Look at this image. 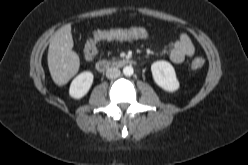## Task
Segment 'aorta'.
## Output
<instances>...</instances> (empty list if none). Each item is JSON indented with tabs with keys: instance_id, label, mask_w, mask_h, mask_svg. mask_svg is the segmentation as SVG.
<instances>
[{
	"instance_id": "762f6f07",
	"label": "aorta",
	"mask_w": 248,
	"mask_h": 165,
	"mask_svg": "<svg viewBox=\"0 0 248 165\" xmlns=\"http://www.w3.org/2000/svg\"><path fill=\"white\" fill-rule=\"evenodd\" d=\"M133 73H134V70H133V67L132 66H125L123 68V74L125 76H131V75H133Z\"/></svg>"
}]
</instances>
